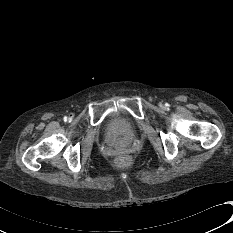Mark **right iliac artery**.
I'll return each instance as SVG.
<instances>
[{
	"label": "right iliac artery",
	"instance_id": "82829eb1",
	"mask_svg": "<svg viewBox=\"0 0 233 233\" xmlns=\"http://www.w3.org/2000/svg\"><path fill=\"white\" fill-rule=\"evenodd\" d=\"M63 120L66 122V121L68 120V118L65 116V117L63 118Z\"/></svg>",
	"mask_w": 233,
	"mask_h": 233
}]
</instances>
